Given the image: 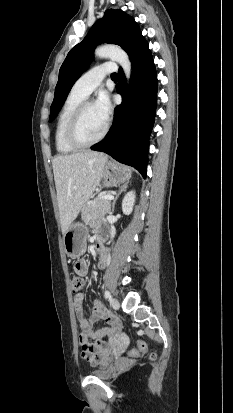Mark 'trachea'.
I'll return each mask as SVG.
<instances>
[{
    "label": "trachea",
    "mask_w": 233,
    "mask_h": 413,
    "mask_svg": "<svg viewBox=\"0 0 233 413\" xmlns=\"http://www.w3.org/2000/svg\"><path fill=\"white\" fill-rule=\"evenodd\" d=\"M111 77H112V78L118 77V75H117L116 73H113V74L111 75Z\"/></svg>",
    "instance_id": "1"
}]
</instances>
